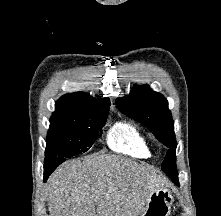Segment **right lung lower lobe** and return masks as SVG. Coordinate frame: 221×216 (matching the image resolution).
<instances>
[{
	"mask_svg": "<svg viewBox=\"0 0 221 216\" xmlns=\"http://www.w3.org/2000/svg\"><path fill=\"white\" fill-rule=\"evenodd\" d=\"M57 166H51L50 168H44V180L54 171Z\"/></svg>",
	"mask_w": 221,
	"mask_h": 216,
	"instance_id": "1",
	"label": "right lung lower lobe"
}]
</instances>
